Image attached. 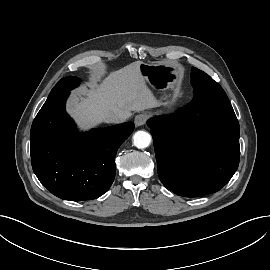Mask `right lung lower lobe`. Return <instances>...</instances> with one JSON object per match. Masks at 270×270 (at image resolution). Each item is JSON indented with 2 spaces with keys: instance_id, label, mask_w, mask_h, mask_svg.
I'll list each match as a JSON object with an SVG mask.
<instances>
[{
  "instance_id": "obj_1",
  "label": "right lung lower lobe",
  "mask_w": 270,
  "mask_h": 270,
  "mask_svg": "<svg viewBox=\"0 0 270 270\" xmlns=\"http://www.w3.org/2000/svg\"><path fill=\"white\" fill-rule=\"evenodd\" d=\"M68 96L48 97L35 117L30 133L32 168L39 181L61 199H96L111 186L117 150L134 124L79 134L65 111Z\"/></svg>"
}]
</instances>
